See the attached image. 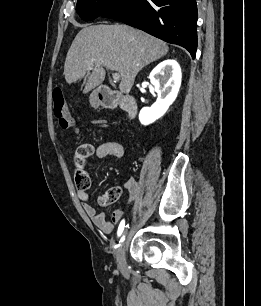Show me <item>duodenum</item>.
<instances>
[{"label": "duodenum", "instance_id": "1", "mask_svg": "<svg viewBox=\"0 0 261 306\" xmlns=\"http://www.w3.org/2000/svg\"><path fill=\"white\" fill-rule=\"evenodd\" d=\"M97 100L104 108H121L129 117H134L137 112V103L132 96L114 92L106 86L98 89Z\"/></svg>", "mask_w": 261, "mask_h": 306}]
</instances>
